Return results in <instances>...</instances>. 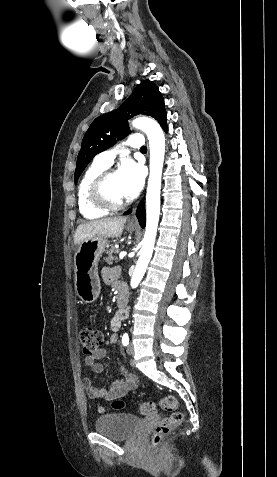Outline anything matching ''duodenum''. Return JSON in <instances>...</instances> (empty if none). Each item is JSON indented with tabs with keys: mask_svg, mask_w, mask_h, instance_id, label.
Instances as JSON below:
<instances>
[{
	"mask_svg": "<svg viewBox=\"0 0 277 477\" xmlns=\"http://www.w3.org/2000/svg\"><path fill=\"white\" fill-rule=\"evenodd\" d=\"M128 298L124 291L118 293L117 306L123 312L127 313Z\"/></svg>",
	"mask_w": 277,
	"mask_h": 477,
	"instance_id": "1",
	"label": "duodenum"
}]
</instances>
